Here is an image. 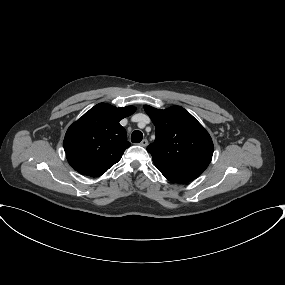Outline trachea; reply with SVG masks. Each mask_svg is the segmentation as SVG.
Returning <instances> with one entry per match:
<instances>
[{
    "mask_svg": "<svg viewBox=\"0 0 285 285\" xmlns=\"http://www.w3.org/2000/svg\"><path fill=\"white\" fill-rule=\"evenodd\" d=\"M143 139V133L139 130H135L131 135V141L133 143H139Z\"/></svg>",
    "mask_w": 285,
    "mask_h": 285,
    "instance_id": "1",
    "label": "trachea"
}]
</instances>
